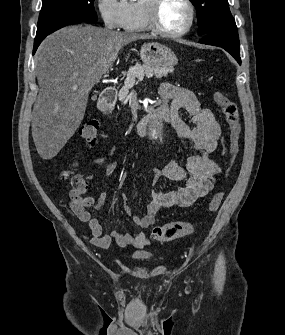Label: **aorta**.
<instances>
[{"instance_id": "obj_1", "label": "aorta", "mask_w": 285, "mask_h": 335, "mask_svg": "<svg viewBox=\"0 0 285 335\" xmlns=\"http://www.w3.org/2000/svg\"><path fill=\"white\" fill-rule=\"evenodd\" d=\"M151 127H143V134H154L155 137H160L161 134H168L169 128L164 127V119H153Z\"/></svg>"}]
</instances>
